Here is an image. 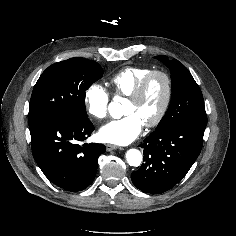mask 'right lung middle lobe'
I'll use <instances>...</instances> for the list:
<instances>
[{
    "mask_svg": "<svg viewBox=\"0 0 236 236\" xmlns=\"http://www.w3.org/2000/svg\"><path fill=\"white\" fill-rule=\"evenodd\" d=\"M102 76L100 65L85 58L52 64L34 86L29 116L47 113L86 118L85 91Z\"/></svg>",
    "mask_w": 236,
    "mask_h": 236,
    "instance_id": "obj_1",
    "label": "right lung middle lobe"
}]
</instances>
